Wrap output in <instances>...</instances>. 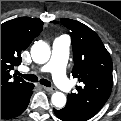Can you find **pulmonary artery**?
<instances>
[{
    "mask_svg": "<svg viewBox=\"0 0 121 121\" xmlns=\"http://www.w3.org/2000/svg\"><path fill=\"white\" fill-rule=\"evenodd\" d=\"M70 40L67 36L56 38L52 46V57L50 61L38 69L39 72H50L55 83L64 91L71 88L70 82L66 76V66L69 57ZM30 72L29 68L22 69Z\"/></svg>",
    "mask_w": 121,
    "mask_h": 121,
    "instance_id": "e3ab8cb5",
    "label": "pulmonary artery"
}]
</instances>
